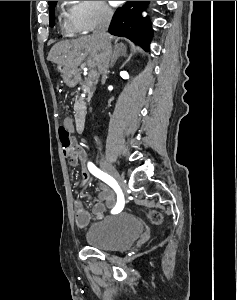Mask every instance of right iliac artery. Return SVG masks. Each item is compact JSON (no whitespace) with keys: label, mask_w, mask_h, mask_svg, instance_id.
Listing matches in <instances>:
<instances>
[{"label":"right iliac artery","mask_w":237,"mask_h":300,"mask_svg":"<svg viewBox=\"0 0 237 300\" xmlns=\"http://www.w3.org/2000/svg\"><path fill=\"white\" fill-rule=\"evenodd\" d=\"M88 169L94 176H96L97 178H99L102 181H104L105 183H107L117 193V204L114 207L113 211L122 209L124 207V199L122 197L123 195H122L121 189H120L119 185L117 184V182L115 181V179L113 177H111L110 175H108L107 173L98 169L91 162L88 163Z\"/></svg>","instance_id":"82829eb1"}]
</instances>
